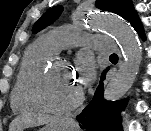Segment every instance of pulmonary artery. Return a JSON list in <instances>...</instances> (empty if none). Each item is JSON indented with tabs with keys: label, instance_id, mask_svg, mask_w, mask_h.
Wrapping results in <instances>:
<instances>
[{
	"label": "pulmonary artery",
	"instance_id": "1",
	"mask_svg": "<svg viewBox=\"0 0 151 131\" xmlns=\"http://www.w3.org/2000/svg\"><path fill=\"white\" fill-rule=\"evenodd\" d=\"M44 38L58 52L64 48L82 45L109 52L113 49L110 38L101 35H89L73 28H56L48 31Z\"/></svg>",
	"mask_w": 151,
	"mask_h": 131
}]
</instances>
